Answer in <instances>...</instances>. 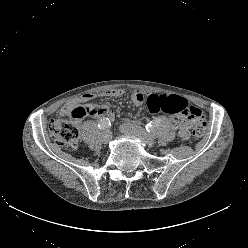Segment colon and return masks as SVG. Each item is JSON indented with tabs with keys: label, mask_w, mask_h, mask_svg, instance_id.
Wrapping results in <instances>:
<instances>
[{
	"label": "colon",
	"mask_w": 248,
	"mask_h": 248,
	"mask_svg": "<svg viewBox=\"0 0 248 248\" xmlns=\"http://www.w3.org/2000/svg\"><path fill=\"white\" fill-rule=\"evenodd\" d=\"M147 108L151 113L164 112L173 115H187L195 122L192 136L199 139L203 136L206 126L205 115L197 107L189 106L187 101L179 96L170 94H152L148 96ZM89 113V108L79 105L71 111L74 121L55 119L50 121L48 131L52 140L60 146L75 148L78 146L80 133L76 121L81 120Z\"/></svg>",
	"instance_id": "colon-1"
}]
</instances>
